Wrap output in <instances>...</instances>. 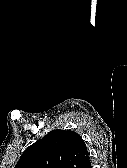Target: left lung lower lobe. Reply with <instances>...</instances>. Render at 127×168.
<instances>
[{"instance_id":"1","label":"left lung lower lobe","mask_w":127,"mask_h":168,"mask_svg":"<svg viewBox=\"0 0 127 168\" xmlns=\"http://www.w3.org/2000/svg\"><path fill=\"white\" fill-rule=\"evenodd\" d=\"M82 168H92V167H91V163H90L89 155H88V154H87V156H86V159H85V162H84Z\"/></svg>"}]
</instances>
